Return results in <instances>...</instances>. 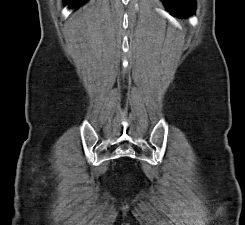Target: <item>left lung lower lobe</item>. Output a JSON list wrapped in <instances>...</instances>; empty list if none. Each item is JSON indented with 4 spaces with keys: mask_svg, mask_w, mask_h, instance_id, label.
<instances>
[{
    "mask_svg": "<svg viewBox=\"0 0 245 225\" xmlns=\"http://www.w3.org/2000/svg\"><path fill=\"white\" fill-rule=\"evenodd\" d=\"M168 11L178 17H187L195 11V0H162Z\"/></svg>",
    "mask_w": 245,
    "mask_h": 225,
    "instance_id": "0a47b994",
    "label": "left lung lower lobe"
}]
</instances>
